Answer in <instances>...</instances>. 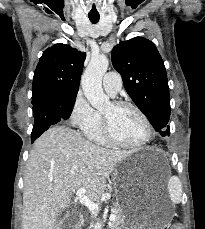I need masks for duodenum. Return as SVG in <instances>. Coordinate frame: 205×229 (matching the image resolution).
Wrapping results in <instances>:
<instances>
[{"label": "duodenum", "mask_w": 205, "mask_h": 229, "mask_svg": "<svg viewBox=\"0 0 205 229\" xmlns=\"http://www.w3.org/2000/svg\"><path fill=\"white\" fill-rule=\"evenodd\" d=\"M80 221H81V216L80 215H78V218H77V224L78 223H80ZM71 229H76L75 227H73V228H71Z\"/></svg>", "instance_id": "obj_1"}]
</instances>
